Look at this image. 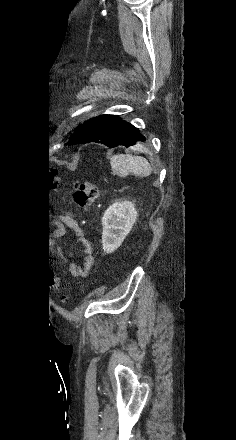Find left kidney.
I'll list each match as a JSON object with an SVG mask.
<instances>
[{
  "label": "left kidney",
  "mask_w": 236,
  "mask_h": 440,
  "mask_svg": "<svg viewBox=\"0 0 236 440\" xmlns=\"http://www.w3.org/2000/svg\"><path fill=\"white\" fill-rule=\"evenodd\" d=\"M137 217L135 205L130 201L115 202L108 207L102 217V248L105 253H113L120 247Z\"/></svg>",
  "instance_id": "obj_1"
}]
</instances>
